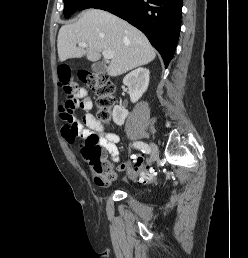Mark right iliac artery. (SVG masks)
Here are the masks:
<instances>
[{
    "instance_id": "right-iliac-artery-1",
    "label": "right iliac artery",
    "mask_w": 248,
    "mask_h": 258,
    "mask_svg": "<svg viewBox=\"0 0 248 258\" xmlns=\"http://www.w3.org/2000/svg\"><path fill=\"white\" fill-rule=\"evenodd\" d=\"M133 146L141 150L143 153L148 154L150 152V147L144 142H141V141L134 142Z\"/></svg>"
}]
</instances>
